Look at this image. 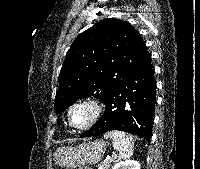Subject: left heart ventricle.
I'll use <instances>...</instances> for the list:
<instances>
[{"instance_id": "1", "label": "left heart ventricle", "mask_w": 200, "mask_h": 169, "mask_svg": "<svg viewBox=\"0 0 200 169\" xmlns=\"http://www.w3.org/2000/svg\"><path fill=\"white\" fill-rule=\"evenodd\" d=\"M90 116V111L87 108L80 107L72 112V120L76 125L84 124Z\"/></svg>"}]
</instances>
